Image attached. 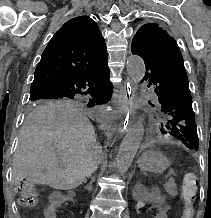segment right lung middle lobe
<instances>
[{
  "mask_svg": "<svg viewBox=\"0 0 211 218\" xmlns=\"http://www.w3.org/2000/svg\"><path fill=\"white\" fill-rule=\"evenodd\" d=\"M108 101L106 98L93 97L83 100L79 97H46L43 99H32L29 102L30 109H48V108H58L66 106H81V107H94L95 105L104 104Z\"/></svg>",
  "mask_w": 211,
  "mask_h": 218,
  "instance_id": "dd1d6c3e",
  "label": "right lung middle lobe"
}]
</instances>
